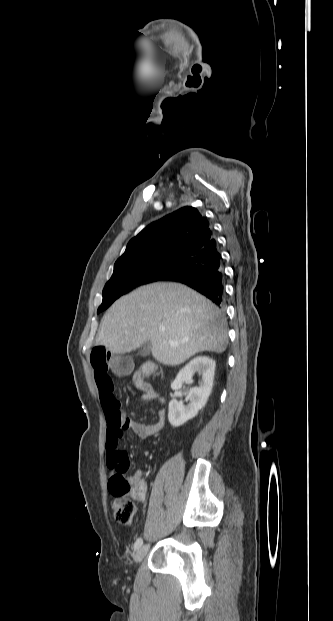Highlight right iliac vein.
I'll list each match as a JSON object with an SVG mask.
<instances>
[{
  "label": "right iliac vein",
  "instance_id": "63e3f726",
  "mask_svg": "<svg viewBox=\"0 0 333 621\" xmlns=\"http://www.w3.org/2000/svg\"><path fill=\"white\" fill-rule=\"evenodd\" d=\"M148 550H149V545L145 544L141 546L135 553V556H134L135 563H140L143 560V558L146 556Z\"/></svg>",
  "mask_w": 333,
  "mask_h": 621
}]
</instances>
